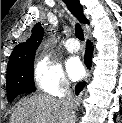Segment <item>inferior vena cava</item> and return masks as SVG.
Here are the masks:
<instances>
[{"label": "inferior vena cava", "mask_w": 122, "mask_h": 123, "mask_svg": "<svg viewBox=\"0 0 122 123\" xmlns=\"http://www.w3.org/2000/svg\"><path fill=\"white\" fill-rule=\"evenodd\" d=\"M64 86L65 92L61 99L63 114L65 116H74L71 88L68 83H65Z\"/></svg>", "instance_id": "obj_1"}]
</instances>
